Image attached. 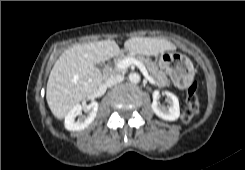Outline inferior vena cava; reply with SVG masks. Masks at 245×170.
<instances>
[{"mask_svg": "<svg viewBox=\"0 0 245 170\" xmlns=\"http://www.w3.org/2000/svg\"><path fill=\"white\" fill-rule=\"evenodd\" d=\"M124 79L123 75H112L110 76L107 80H106V86L107 87H112L114 85H116L117 83L122 82Z\"/></svg>", "mask_w": 245, "mask_h": 170, "instance_id": "1", "label": "inferior vena cava"}]
</instances>
